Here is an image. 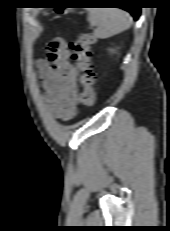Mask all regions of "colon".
I'll list each match as a JSON object with an SVG mask.
<instances>
[{"mask_svg": "<svg viewBox=\"0 0 170 231\" xmlns=\"http://www.w3.org/2000/svg\"><path fill=\"white\" fill-rule=\"evenodd\" d=\"M95 37L91 33H80L77 38L70 42V59L73 68L79 73V82L82 86L80 102L87 107L96 103L97 95L94 88L95 74L92 63V48Z\"/></svg>", "mask_w": 170, "mask_h": 231, "instance_id": "obj_1", "label": "colon"}]
</instances>
